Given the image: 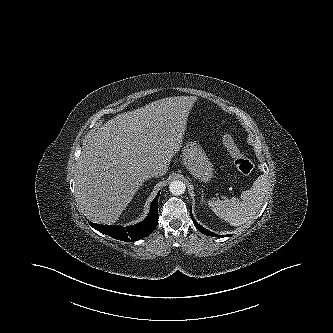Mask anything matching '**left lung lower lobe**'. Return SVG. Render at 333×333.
Returning <instances> with one entry per match:
<instances>
[{
    "label": "left lung lower lobe",
    "mask_w": 333,
    "mask_h": 333,
    "mask_svg": "<svg viewBox=\"0 0 333 333\" xmlns=\"http://www.w3.org/2000/svg\"><path fill=\"white\" fill-rule=\"evenodd\" d=\"M191 217H192V213H191ZM192 220H193V217H192ZM193 223H194L195 227L205 235L214 236V237H228V236H231V235H224V236L223 235H215V234L211 233L210 231L206 230L205 228H203L202 226H200L195 220H193Z\"/></svg>",
    "instance_id": "obj_1"
}]
</instances>
